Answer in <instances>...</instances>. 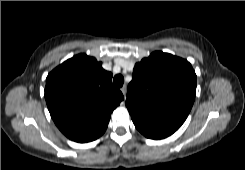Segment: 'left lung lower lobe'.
I'll return each mask as SVG.
<instances>
[{"label": "left lung lower lobe", "instance_id": "obj_1", "mask_svg": "<svg viewBox=\"0 0 245 170\" xmlns=\"http://www.w3.org/2000/svg\"><path fill=\"white\" fill-rule=\"evenodd\" d=\"M135 127L144 136L150 139H163L172 135L175 131L146 124L138 119H132Z\"/></svg>", "mask_w": 245, "mask_h": 170}]
</instances>
